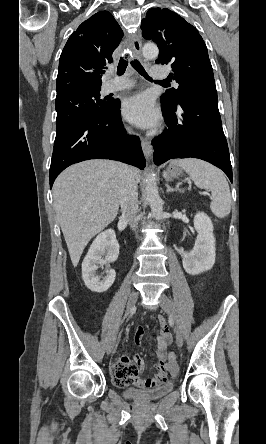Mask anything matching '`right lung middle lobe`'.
<instances>
[{
  "instance_id": "right-lung-middle-lobe-1",
  "label": "right lung middle lobe",
  "mask_w": 266,
  "mask_h": 444,
  "mask_svg": "<svg viewBox=\"0 0 266 444\" xmlns=\"http://www.w3.org/2000/svg\"><path fill=\"white\" fill-rule=\"evenodd\" d=\"M100 90L75 91L57 97L56 134L76 123L106 115L112 109L114 102L100 99Z\"/></svg>"
}]
</instances>
